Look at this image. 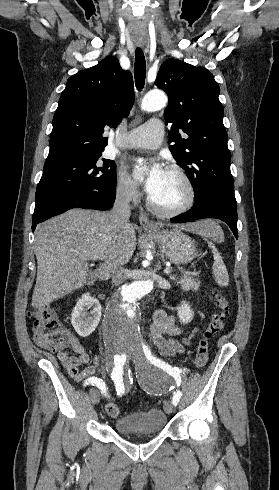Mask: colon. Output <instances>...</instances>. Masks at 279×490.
Wrapping results in <instances>:
<instances>
[{"label":"colon","mask_w":279,"mask_h":490,"mask_svg":"<svg viewBox=\"0 0 279 490\" xmlns=\"http://www.w3.org/2000/svg\"><path fill=\"white\" fill-rule=\"evenodd\" d=\"M211 295L219 310L208 323L198 340L195 352V363L198 367H204L207 364L210 341L224 327L230 311V302L226 295L220 291H212ZM31 316L34 317V332L40 349L56 353H63L66 349H72L71 343L76 341L71 337L72 331L61 327L52 309L37 308L31 312ZM105 410L113 418H118L121 415V408L114 403L106 404Z\"/></svg>","instance_id":"5ec220e1"}]
</instances>
